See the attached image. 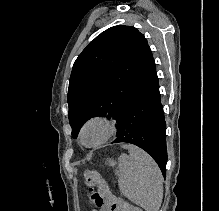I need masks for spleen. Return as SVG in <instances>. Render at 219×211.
Returning a JSON list of instances; mask_svg holds the SVG:
<instances>
[{
  "mask_svg": "<svg viewBox=\"0 0 219 211\" xmlns=\"http://www.w3.org/2000/svg\"><path fill=\"white\" fill-rule=\"evenodd\" d=\"M129 151L119 155L118 185L123 195L146 211H158L163 199V177L153 157L137 145H125ZM109 165L116 161L107 159Z\"/></svg>",
  "mask_w": 219,
  "mask_h": 211,
  "instance_id": "obj_1",
  "label": "spleen"
}]
</instances>
